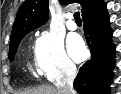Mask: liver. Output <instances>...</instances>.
I'll return each instance as SVG.
<instances>
[{"label": "liver", "mask_w": 121, "mask_h": 94, "mask_svg": "<svg viewBox=\"0 0 121 94\" xmlns=\"http://www.w3.org/2000/svg\"><path fill=\"white\" fill-rule=\"evenodd\" d=\"M18 94H61V93L54 86L42 85L33 89L21 91Z\"/></svg>", "instance_id": "1"}]
</instances>
